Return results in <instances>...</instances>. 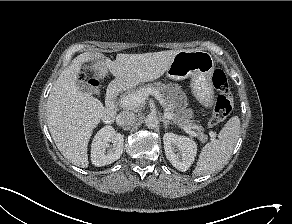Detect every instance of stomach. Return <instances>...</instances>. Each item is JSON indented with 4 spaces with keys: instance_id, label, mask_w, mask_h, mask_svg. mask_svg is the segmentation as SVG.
<instances>
[{
    "instance_id": "1",
    "label": "stomach",
    "mask_w": 292,
    "mask_h": 224,
    "mask_svg": "<svg viewBox=\"0 0 292 224\" xmlns=\"http://www.w3.org/2000/svg\"><path fill=\"white\" fill-rule=\"evenodd\" d=\"M215 61L212 55L202 50H183L175 55L167 70V76L175 80L190 77L192 94L205 108L214 104L213 73Z\"/></svg>"
}]
</instances>
